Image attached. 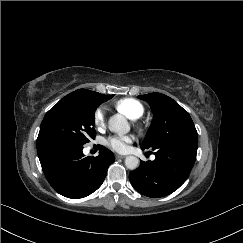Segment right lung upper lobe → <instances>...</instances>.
<instances>
[{
  "mask_svg": "<svg viewBox=\"0 0 243 243\" xmlns=\"http://www.w3.org/2000/svg\"><path fill=\"white\" fill-rule=\"evenodd\" d=\"M107 95H102L100 93L86 90V89H78L64 98H74V99H84L90 101H103ZM103 103V102H102Z\"/></svg>",
  "mask_w": 243,
  "mask_h": 243,
  "instance_id": "cb5924a9",
  "label": "right lung upper lobe"
}]
</instances>
